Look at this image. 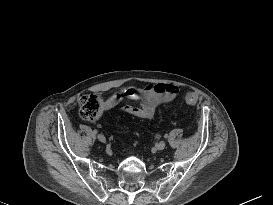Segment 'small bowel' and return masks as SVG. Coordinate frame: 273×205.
Returning <instances> with one entry per match:
<instances>
[{"instance_id":"obj_1","label":"small bowel","mask_w":273,"mask_h":205,"mask_svg":"<svg viewBox=\"0 0 273 205\" xmlns=\"http://www.w3.org/2000/svg\"><path fill=\"white\" fill-rule=\"evenodd\" d=\"M178 95V88L172 84L129 86L109 95L104 101V109L111 111L124 100L135 101L139 103L138 106L126 105L121 108V112L141 119H151L160 105L174 101Z\"/></svg>"}]
</instances>
